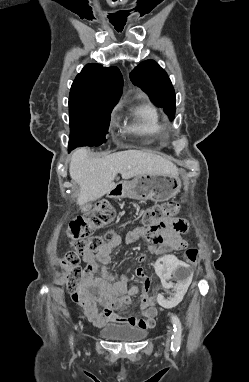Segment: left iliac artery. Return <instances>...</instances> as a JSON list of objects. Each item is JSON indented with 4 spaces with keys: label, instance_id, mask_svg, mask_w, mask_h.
<instances>
[{
    "label": "left iliac artery",
    "instance_id": "44dca946",
    "mask_svg": "<svg viewBox=\"0 0 249 382\" xmlns=\"http://www.w3.org/2000/svg\"><path fill=\"white\" fill-rule=\"evenodd\" d=\"M171 320L173 323V335H172V343L171 348L173 351H178L180 349L181 344V334H182V326L179 318L175 315H171Z\"/></svg>",
    "mask_w": 249,
    "mask_h": 382
}]
</instances>
